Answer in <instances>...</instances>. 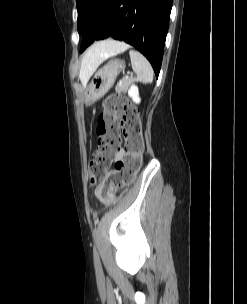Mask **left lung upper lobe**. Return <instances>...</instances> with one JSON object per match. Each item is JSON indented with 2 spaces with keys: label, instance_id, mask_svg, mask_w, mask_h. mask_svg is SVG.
Listing matches in <instances>:
<instances>
[{
  "label": "left lung upper lobe",
  "instance_id": "1",
  "mask_svg": "<svg viewBox=\"0 0 247 304\" xmlns=\"http://www.w3.org/2000/svg\"><path fill=\"white\" fill-rule=\"evenodd\" d=\"M78 11V33L89 25L96 23L105 7L107 0H76Z\"/></svg>",
  "mask_w": 247,
  "mask_h": 304
}]
</instances>
